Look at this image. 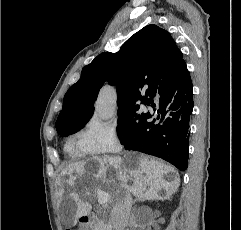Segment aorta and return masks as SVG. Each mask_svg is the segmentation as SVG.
<instances>
[{"label": "aorta", "instance_id": "aorta-1", "mask_svg": "<svg viewBox=\"0 0 241 230\" xmlns=\"http://www.w3.org/2000/svg\"><path fill=\"white\" fill-rule=\"evenodd\" d=\"M116 95L113 88L104 86L95 102V113L101 120H110L115 112Z\"/></svg>", "mask_w": 241, "mask_h": 230}]
</instances>
